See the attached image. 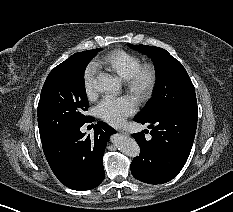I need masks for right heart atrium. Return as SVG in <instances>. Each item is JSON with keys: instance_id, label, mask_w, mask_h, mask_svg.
Wrapping results in <instances>:
<instances>
[{"instance_id": "d8ad5b80", "label": "right heart atrium", "mask_w": 233, "mask_h": 212, "mask_svg": "<svg viewBox=\"0 0 233 212\" xmlns=\"http://www.w3.org/2000/svg\"><path fill=\"white\" fill-rule=\"evenodd\" d=\"M95 73L96 67L94 64H89L83 73V86L88 98L92 99L95 96Z\"/></svg>"}]
</instances>
